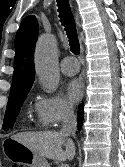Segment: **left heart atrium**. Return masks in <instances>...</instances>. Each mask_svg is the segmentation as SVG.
<instances>
[{
	"label": "left heart atrium",
	"mask_w": 125,
	"mask_h": 167,
	"mask_svg": "<svg viewBox=\"0 0 125 167\" xmlns=\"http://www.w3.org/2000/svg\"><path fill=\"white\" fill-rule=\"evenodd\" d=\"M66 95L70 103H76L83 95V85L79 79L69 80L65 87Z\"/></svg>",
	"instance_id": "1"
}]
</instances>
